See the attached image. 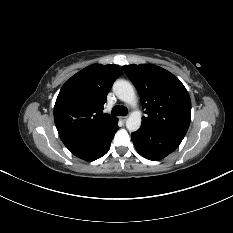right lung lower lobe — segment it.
I'll return each mask as SVG.
<instances>
[{
	"label": "right lung lower lobe",
	"mask_w": 233,
	"mask_h": 233,
	"mask_svg": "<svg viewBox=\"0 0 233 233\" xmlns=\"http://www.w3.org/2000/svg\"><path fill=\"white\" fill-rule=\"evenodd\" d=\"M117 130L118 119L85 137L68 141L64 144L75 156L85 161H94L108 152L111 141Z\"/></svg>",
	"instance_id": "right-lung-lower-lobe-1"
}]
</instances>
